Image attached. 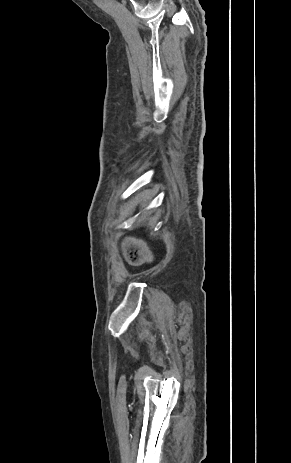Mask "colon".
<instances>
[{
	"instance_id": "colon-1",
	"label": "colon",
	"mask_w": 291,
	"mask_h": 463,
	"mask_svg": "<svg viewBox=\"0 0 291 463\" xmlns=\"http://www.w3.org/2000/svg\"><path fill=\"white\" fill-rule=\"evenodd\" d=\"M127 257L133 264L139 263L142 259L139 245L132 240L127 242Z\"/></svg>"
}]
</instances>
